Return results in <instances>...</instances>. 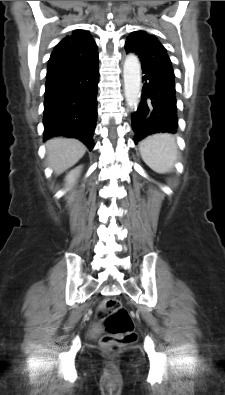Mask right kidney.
Returning <instances> with one entry per match:
<instances>
[{"instance_id":"ca27d5eb","label":"right kidney","mask_w":225,"mask_h":395,"mask_svg":"<svg viewBox=\"0 0 225 395\" xmlns=\"http://www.w3.org/2000/svg\"><path fill=\"white\" fill-rule=\"evenodd\" d=\"M80 170H81V167H78V168L72 170V171L66 176L67 184L71 185V184H73V183L75 182L77 176H78L79 173H80Z\"/></svg>"}]
</instances>
